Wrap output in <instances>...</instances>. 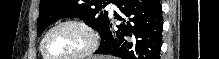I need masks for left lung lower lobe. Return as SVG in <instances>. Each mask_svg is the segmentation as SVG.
I'll list each match as a JSON object with an SVG mask.
<instances>
[{
  "label": "left lung lower lobe",
  "mask_w": 219,
  "mask_h": 59,
  "mask_svg": "<svg viewBox=\"0 0 219 59\" xmlns=\"http://www.w3.org/2000/svg\"><path fill=\"white\" fill-rule=\"evenodd\" d=\"M126 19L112 28L110 20L100 36L101 44L94 54H108L121 59H159L162 45V9L159 0H114Z\"/></svg>",
  "instance_id": "left-lung-lower-lobe-1"
}]
</instances>
